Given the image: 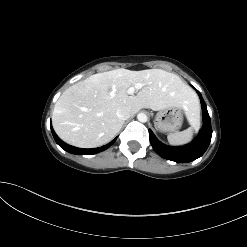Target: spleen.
Segmentation results:
<instances>
[{
  "mask_svg": "<svg viewBox=\"0 0 247 247\" xmlns=\"http://www.w3.org/2000/svg\"><path fill=\"white\" fill-rule=\"evenodd\" d=\"M187 118L191 124V127H189L184 131L169 134L167 136L168 142L171 145L174 146L184 145L192 140L193 131L196 128V126L199 124V107L189 112V117Z\"/></svg>",
  "mask_w": 247,
  "mask_h": 247,
  "instance_id": "1",
  "label": "spleen"
}]
</instances>
